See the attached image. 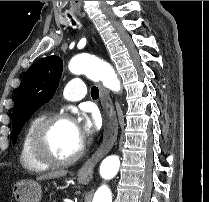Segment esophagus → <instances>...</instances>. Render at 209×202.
<instances>
[{
	"label": "esophagus",
	"instance_id": "obj_1",
	"mask_svg": "<svg viewBox=\"0 0 209 202\" xmlns=\"http://www.w3.org/2000/svg\"><path fill=\"white\" fill-rule=\"evenodd\" d=\"M79 16L84 17L85 15L82 13L79 14ZM99 89L101 102L104 105H109L110 111L109 116L104 115V132L101 145L78 170L77 175L79 180L82 182L90 181L93 176L95 166L112 149L118 136V123L116 120L114 108L111 104L109 92L101 84L99 85Z\"/></svg>",
	"mask_w": 209,
	"mask_h": 202
}]
</instances>
